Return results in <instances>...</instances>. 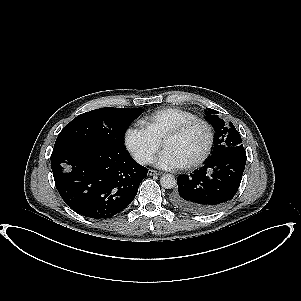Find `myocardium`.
I'll use <instances>...</instances> for the list:
<instances>
[{"mask_svg":"<svg viewBox=\"0 0 301 301\" xmlns=\"http://www.w3.org/2000/svg\"><path fill=\"white\" fill-rule=\"evenodd\" d=\"M193 124H201L205 128L206 135H207V140H206V144H205V147L202 150V152L197 157H195L191 161H189L186 165L187 167H193V166L199 165L203 161H205L207 159V157L209 156L210 151L212 149L213 140H214V134H213V130H212V127H211L210 123L207 122L206 120L202 119V118L195 117V118L186 120V121L178 124L174 128L170 129L164 135V137L162 139V146L165 147V143L168 139H170L172 137H175L177 135H180L188 127H190Z\"/></svg>","mask_w":301,"mask_h":301,"instance_id":"myocardium-1","label":"myocardium"}]
</instances>
